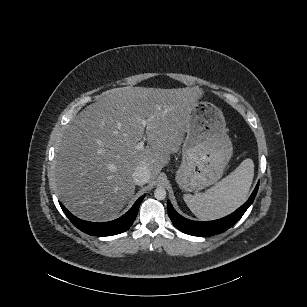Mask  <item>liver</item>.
<instances>
[{"label":"liver","instance_id":"6515ba94","mask_svg":"<svg viewBox=\"0 0 307 307\" xmlns=\"http://www.w3.org/2000/svg\"><path fill=\"white\" fill-rule=\"evenodd\" d=\"M201 96L198 87L126 86L82 110L66 127L53 161L56 194L67 209L96 222L119 212L134 194L136 167L147 165L154 180L179 151ZM145 136L148 146L137 150Z\"/></svg>","mask_w":307,"mask_h":307}]
</instances>
